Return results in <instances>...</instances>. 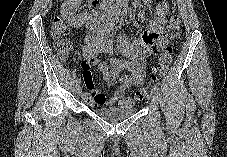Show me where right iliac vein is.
Here are the masks:
<instances>
[{
	"mask_svg": "<svg viewBox=\"0 0 227 157\" xmlns=\"http://www.w3.org/2000/svg\"><path fill=\"white\" fill-rule=\"evenodd\" d=\"M74 89H75V93L77 95H79L81 93V86L79 84H76Z\"/></svg>",
	"mask_w": 227,
	"mask_h": 157,
	"instance_id": "1",
	"label": "right iliac vein"
}]
</instances>
